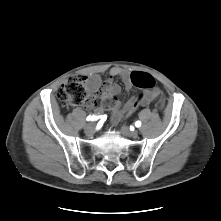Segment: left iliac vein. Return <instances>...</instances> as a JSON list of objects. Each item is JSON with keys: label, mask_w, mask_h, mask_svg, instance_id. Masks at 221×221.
Returning <instances> with one entry per match:
<instances>
[{"label": "left iliac vein", "mask_w": 221, "mask_h": 221, "mask_svg": "<svg viewBox=\"0 0 221 221\" xmlns=\"http://www.w3.org/2000/svg\"><path fill=\"white\" fill-rule=\"evenodd\" d=\"M123 134H125L128 137H137L138 131L137 130H130L127 126H122L121 128Z\"/></svg>", "instance_id": "1"}]
</instances>
